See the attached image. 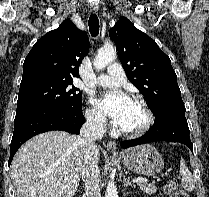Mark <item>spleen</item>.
Masks as SVG:
<instances>
[{"label": "spleen", "instance_id": "1", "mask_svg": "<svg viewBox=\"0 0 209 197\" xmlns=\"http://www.w3.org/2000/svg\"><path fill=\"white\" fill-rule=\"evenodd\" d=\"M182 187L188 192H192L195 188V180L192 176V173L189 171L188 167L185 164V160L181 158L180 160V174Z\"/></svg>", "mask_w": 209, "mask_h": 197}]
</instances>
